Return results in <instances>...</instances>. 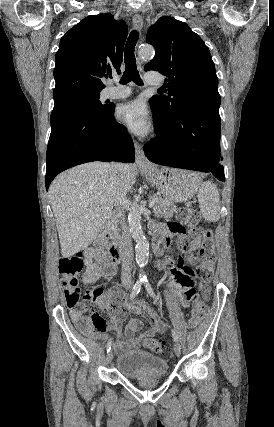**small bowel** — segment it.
Returning <instances> with one entry per match:
<instances>
[{"label":"small bowel","instance_id":"obj_1","mask_svg":"<svg viewBox=\"0 0 274 427\" xmlns=\"http://www.w3.org/2000/svg\"><path fill=\"white\" fill-rule=\"evenodd\" d=\"M158 223L152 224L154 233L157 231ZM184 257L169 256L164 260L158 261L157 267L164 270L167 266L170 267L172 276L170 277L167 287L173 296H179L182 288L184 291L183 300L185 302H195L197 295L201 289L205 297L209 296L210 289L208 286H200L191 275V269L184 264L193 265L196 263L197 255H205L211 257L214 251H200L199 245H192L188 251L181 252ZM85 272L83 274V282L85 284H93L101 277H111L117 270L118 260L113 256L112 249L106 248L103 245H94L88 247L84 251ZM198 268L195 271V276L200 278L202 284H213L215 277L212 270L216 268L214 261H200ZM208 268V269H206ZM189 289V290H188ZM98 306L105 312H109L112 321L118 329V334L112 343V348L115 353L121 354L129 350L137 349L142 345V340L152 338L156 335L163 334L167 325L154 311L152 307L149 310L148 299H136L135 303L127 301L125 296L118 291H108L107 293L100 292L97 298ZM151 327L148 328L140 336L137 333L142 328V320L138 317H132L128 320L124 333H122V324L127 319L131 312L148 313ZM71 318L77 325L78 329L85 335L91 338H98L108 342L109 337L106 334L108 329L107 321L97 312L87 313L84 309H74L71 311Z\"/></svg>","mask_w":274,"mask_h":427}]
</instances>
